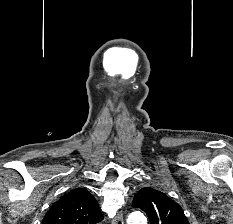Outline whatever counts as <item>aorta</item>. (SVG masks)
<instances>
[{
	"mask_svg": "<svg viewBox=\"0 0 233 224\" xmlns=\"http://www.w3.org/2000/svg\"><path fill=\"white\" fill-rule=\"evenodd\" d=\"M127 224H147V222L141 212H133L128 216Z\"/></svg>",
	"mask_w": 233,
	"mask_h": 224,
	"instance_id": "obj_1",
	"label": "aorta"
}]
</instances>
